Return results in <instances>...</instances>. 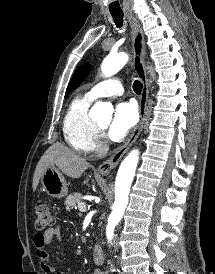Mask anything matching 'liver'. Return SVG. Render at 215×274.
I'll return each mask as SVG.
<instances>
[{
	"mask_svg": "<svg viewBox=\"0 0 215 274\" xmlns=\"http://www.w3.org/2000/svg\"><path fill=\"white\" fill-rule=\"evenodd\" d=\"M52 165H56L59 170L71 178L81 177L89 167V163L79 154L60 143H55L46 150L36 166L32 185L33 191L36 190L43 172Z\"/></svg>",
	"mask_w": 215,
	"mask_h": 274,
	"instance_id": "liver-1",
	"label": "liver"
}]
</instances>
